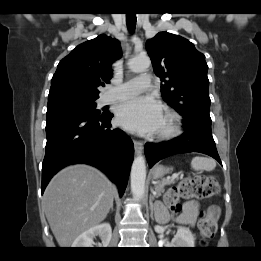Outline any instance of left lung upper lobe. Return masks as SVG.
Listing matches in <instances>:
<instances>
[{
    "instance_id": "left-lung-upper-lobe-1",
    "label": "left lung upper lobe",
    "mask_w": 261,
    "mask_h": 261,
    "mask_svg": "<svg viewBox=\"0 0 261 261\" xmlns=\"http://www.w3.org/2000/svg\"><path fill=\"white\" fill-rule=\"evenodd\" d=\"M154 72L161 78L163 99L184 122L211 123L208 66L204 54L187 39L159 32L146 42Z\"/></svg>"
}]
</instances>
